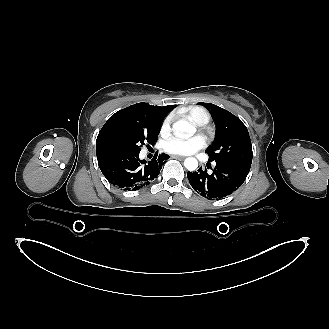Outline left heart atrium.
Returning a JSON list of instances; mask_svg holds the SVG:
<instances>
[{"mask_svg": "<svg viewBox=\"0 0 329 329\" xmlns=\"http://www.w3.org/2000/svg\"><path fill=\"white\" fill-rule=\"evenodd\" d=\"M205 139L196 135L191 138H181L177 136L165 140L164 150L171 154L189 155L205 147Z\"/></svg>", "mask_w": 329, "mask_h": 329, "instance_id": "obj_1", "label": "left heart atrium"}]
</instances>
